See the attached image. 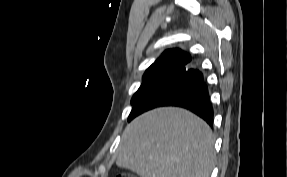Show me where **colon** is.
I'll return each mask as SVG.
<instances>
[{"label": "colon", "instance_id": "5ec220e1", "mask_svg": "<svg viewBox=\"0 0 287 177\" xmlns=\"http://www.w3.org/2000/svg\"><path fill=\"white\" fill-rule=\"evenodd\" d=\"M117 177H135V176L129 174H120Z\"/></svg>", "mask_w": 287, "mask_h": 177}]
</instances>
